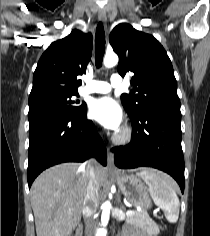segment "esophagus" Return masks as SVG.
I'll list each match as a JSON object with an SVG mask.
<instances>
[{
  "label": "esophagus",
  "mask_w": 210,
  "mask_h": 236,
  "mask_svg": "<svg viewBox=\"0 0 210 236\" xmlns=\"http://www.w3.org/2000/svg\"><path fill=\"white\" fill-rule=\"evenodd\" d=\"M98 17H99L100 21L105 25L107 17H106V12L104 9L99 10ZM107 168L111 171L116 170L115 165H114L113 152L110 147L107 148Z\"/></svg>",
  "instance_id": "esophagus-1"
}]
</instances>
